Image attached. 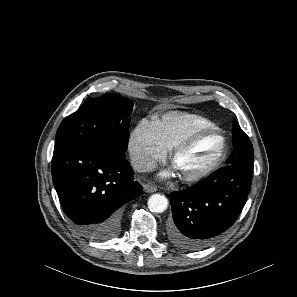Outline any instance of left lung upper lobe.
Here are the masks:
<instances>
[{
  "label": "left lung upper lobe",
  "mask_w": 297,
  "mask_h": 297,
  "mask_svg": "<svg viewBox=\"0 0 297 297\" xmlns=\"http://www.w3.org/2000/svg\"><path fill=\"white\" fill-rule=\"evenodd\" d=\"M233 151L226 161V165L254 164V150L249 137L243 132L236 120L232 125Z\"/></svg>",
  "instance_id": "1"
}]
</instances>
